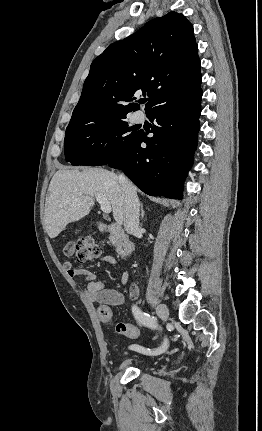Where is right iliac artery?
Wrapping results in <instances>:
<instances>
[{"instance_id": "1", "label": "right iliac artery", "mask_w": 262, "mask_h": 431, "mask_svg": "<svg viewBox=\"0 0 262 431\" xmlns=\"http://www.w3.org/2000/svg\"><path fill=\"white\" fill-rule=\"evenodd\" d=\"M132 312L134 314L135 319L137 320V322L139 324L146 326V327H149V328H153V329H155L157 327L156 319L154 317H150L149 314L143 312L137 306L132 307ZM167 346H168V341H167V339H164L162 346L157 348V349H154V350L146 349V348L141 347V346L136 345V344L131 345L130 349L140 351V352H143V353L149 354V355H158V354H161L162 352H164L166 350Z\"/></svg>"}]
</instances>
